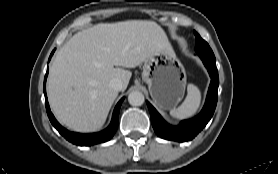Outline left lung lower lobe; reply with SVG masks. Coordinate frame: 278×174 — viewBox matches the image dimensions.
Returning a JSON list of instances; mask_svg holds the SVG:
<instances>
[{"label": "left lung lower lobe", "mask_w": 278, "mask_h": 174, "mask_svg": "<svg viewBox=\"0 0 278 174\" xmlns=\"http://www.w3.org/2000/svg\"><path fill=\"white\" fill-rule=\"evenodd\" d=\"M199 56L210 74L211 83L205 105L196 117L190 120H184L178 126H171L167 124L155 108L147 102L152 126L156 134L161 138L178 142L192 140L206 126L214 114L217 104V90L219 84L216 59L204 55Z\"/></svg>", "instance_id": "obj_1"}]
</instances>
